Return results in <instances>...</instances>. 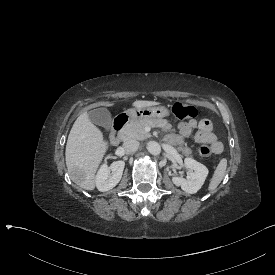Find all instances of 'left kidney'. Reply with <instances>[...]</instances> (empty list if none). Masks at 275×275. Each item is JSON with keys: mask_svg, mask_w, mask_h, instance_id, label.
<instances>
[{"mask_svg": "<svg viewBox=\"0 0 275 275\" xmlns=\"http://www.w3.org/2000/svg\"><path fill=\"white\" fill-rule=\"evenodd\" d=\"M185 165L189 170L191 181H188L182 177L173 176L172 182L176 187H181L184 192L194 194L203 185L208 175V169L191 158L185 159Z\"/></svg>", "mask_w": 275, "mask_h": 275, "instance_id": "obj_1", "label": "left kidney"}]
</instances>
